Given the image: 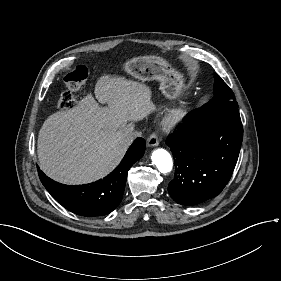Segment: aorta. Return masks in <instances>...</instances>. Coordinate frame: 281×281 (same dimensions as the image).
I'll return each instance as SVG.
<instances>
[{
    "label": "aorta",
    "mask_w": 281,
    "mask_h": 281,
    "mask_svg": "<svg viewBox=\"0 0 281 281\" xmlns=\"http://www.w3.org/2000/svg\"><path fill=\"white\" fill-rule=\"evenodd\" d=\"M151 159L152 163L158 168L161 173L166 174L172 170V157L165 149L159 148L154 150Z\"/></svg>",
    "instance_id": "obj_1"
}]
</instances>
